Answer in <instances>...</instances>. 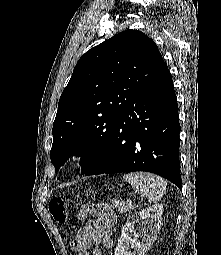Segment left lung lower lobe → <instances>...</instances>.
Segmentation results:
<instances>
[{"mask_svg":"<svg viewBox=\"0 0 221 255\" xmlns=\"http://www.w3.org/2000/svg\"><path fill=\"white\" fill-rule=\"evenodd\" d=\"M178 105L167 65L116 120L101 155L83 173L146 171L181 189Z\"/></svg>","mask_w":221,"mask_h":255,"instance_id":"obj_1","label":"left lung lower lobe"}]
</instances>
